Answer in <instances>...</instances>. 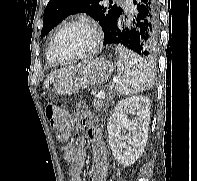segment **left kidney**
<instances>
[{"label": "left kidney", "mask_w": 197, "mask_h": 181, "mask_svg": "<svg viewBox=\"0 0 197 181\" xmlns=\"http://www.w3.org/2000/svg\"><path fill=\"white\" fill-rule=\"evenodd\" d=\"M149 105V99L145 96L123 99L108 119V142L114 158L123 166L132 165L144 151L150 121ZM129 114L135 115V118L128 119ZM123 128L132 135L122 132Z\"/></svg>", "instance_id": "5707ae66"}]
</instances>
